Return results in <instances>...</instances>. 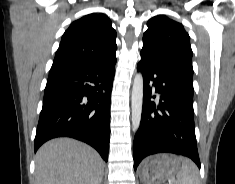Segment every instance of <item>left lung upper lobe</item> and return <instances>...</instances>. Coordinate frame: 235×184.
Instances as JSON below:
<instances>
[{
    "label": "left lung upper lobe",
    "instance_id": "obj_1",
    "mask_svg": "<svg viewBox=\"0 0 235 184\" xmlns=\"http://www.w3.org/2000/svg\"><path fill=\"white\" fill-rule=\"evenodd\" d=\"M143 35V48L159 61L175 68L193 86L192 50L190 37L182 24L164 16L147 22Z\"/></svg>",
    "mask_w": 235,
    "mask_h": 184
}]
</instances>
